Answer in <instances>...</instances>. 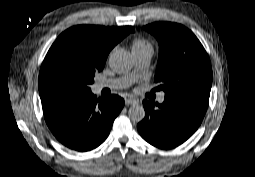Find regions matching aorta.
Instances as JSON below:
<instances>
[{
    "mask_svg": "<svg viewBox=\"0 0 255 177\" xmlns=\"http://www.w3.org/2000/svg\"><path fill=\"white\" fill-rule=\"evenodd\" d=\"M133 64L132 55L124 49L113 50L109 55V65L116 73L128 72ZM128 116L133 122H141L145 117V110L142 105L134 104L128 110Z\"/></svg>",
    "mask_w": 255,
    "mask_h": 177,
    "instance_id": "obj_1",
    "label": "aorta"
}]
</instances>
